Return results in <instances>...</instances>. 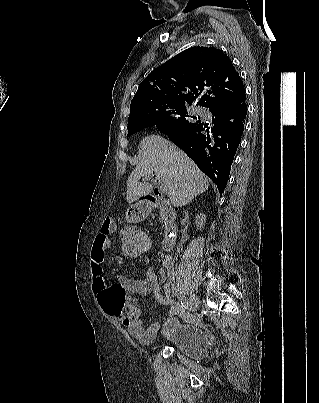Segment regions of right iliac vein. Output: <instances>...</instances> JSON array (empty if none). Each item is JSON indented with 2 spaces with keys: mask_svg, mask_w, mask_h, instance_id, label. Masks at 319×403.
Segmentation results:
<instances>
[{
  "mask_svg": "<svg viewBox=\"0 0 319 403\" xmlns=\"http://www.w3.org/2000/svg\"><path fill=\"white\" fill-rule=\"evenodd\" d=\"M198 308V297L195 294H192L189 298V312L190 315L196 312Z\"/></svg>",
  "mask_w": 319,
  "mask_h": 403,
  "instance_id": "63e3f726",
  "label": "right iliac vein"
}]
</instances>
